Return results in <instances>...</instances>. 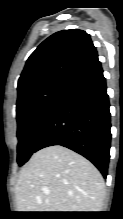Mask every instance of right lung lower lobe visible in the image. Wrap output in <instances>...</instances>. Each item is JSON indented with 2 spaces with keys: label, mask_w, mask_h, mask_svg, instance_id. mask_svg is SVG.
I'll return each instance as SVG.
<instances>
[{
  "label": "right lung lower lobe",
  "mask_w": 123,
  "mask_h": 219,
  "mask_svg": "<svg viewBox=\"0 0 123 219\" xmlns=\"http://www.w3.org/2000/svg\"><path fill=\"white\" fill-rule=\"evenodd\" d=\"M109 99L100 61L73 76L55 104L35 150L61 145L107 176L111 141Z\"/></svg>",
  "instance_id": "98d812e1"
}]
</instances>
